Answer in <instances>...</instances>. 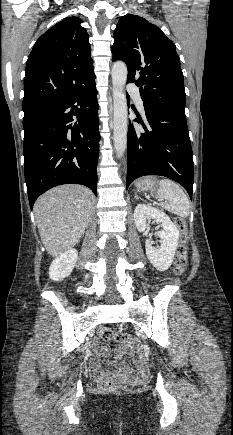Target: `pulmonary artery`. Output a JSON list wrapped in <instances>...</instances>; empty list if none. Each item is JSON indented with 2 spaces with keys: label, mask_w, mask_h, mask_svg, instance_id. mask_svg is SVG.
<instances>
[{
  "label": "pulmonary artery",
  "mask_w": 233,
  "mask_h": 435,
  "mask_svg": "<svg viewBox=\"0 0 233 435\" xmlns=\"http://www.w3.org/2000/svg\"><path fill=\"white\" fill-rule=\"evenodd\" d=\"M128 92L130 93V95L132 96V98L134 99V101L136 102L138 108L141 111H144V106H143V101L141 99L140 96V91L136 86L130 85L128 87Z\"/></svg>",
  "instance_id": "obj_1"
}]
</instances>
